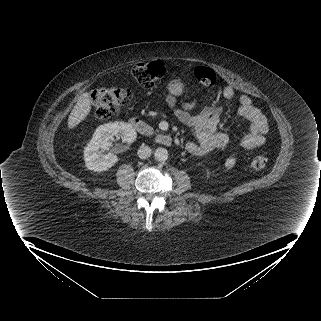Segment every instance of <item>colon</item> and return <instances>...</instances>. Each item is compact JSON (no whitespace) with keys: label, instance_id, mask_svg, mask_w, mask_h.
<instances>
[{"label":"colon","instance_id":"5ec220e1","mask_svg":"<svg viewBox=\"0 0 321 321\" xmlns=\"http://www.w3.org/2000/svg\"><path fill=\"white\" fill-rule=\"evenodd\" d=\"M132 76L144 88H152L165 75V66L161 61L139 63L132 69ZM197 80L205 86H213L217 82L216 72L207 66H198L195 69ZM132 96L129 89L101 87L90 95V104L100 119H108L118 114L123 103ZM268 163L264 155H259L252 160L251 166L255 170L263 169Z\"/></svg>","mask_w":321,"mask_h":321}]
</instances>
